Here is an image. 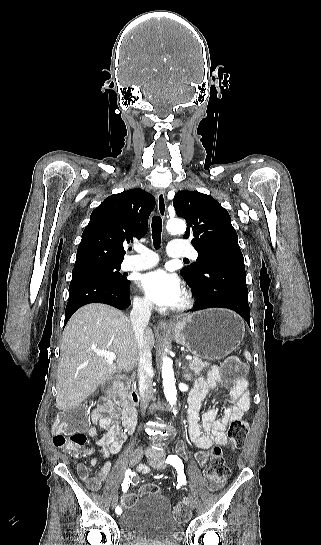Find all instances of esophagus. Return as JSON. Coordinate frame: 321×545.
<instances>
[{
    "label": "esophagus",
    "instance_id": "34e87169",
    "mask_svg": "<svg viewBox=\"0 0 321 545\" xmlns=\"http://www.w3.org/2000/svg\"><path fill=\"white\" fill-rule=\"evenodd\" d=\"M157 205H158V212L161 215L163 219L166 217V202H165V192L164 190H159L157 194ZM158 328L163 329H174V323L172 322H165L163 320H159L157 323Z\"/></svg>",
    "mask_w": 321,
    "mask_h": 545
}]
</instances>
